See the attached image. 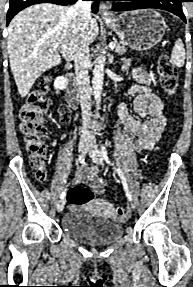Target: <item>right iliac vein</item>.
<instances>
[{
    "label": "right iliac vein",
    "mask_w": 193,
    "mask_h": 287,
    "mask_svg": "<svg viewBox=\"0 0 193 287\" xmlns=\"http://www.w3.org/2000/svg\"><path fill=\"white\" fill-rule=\"evenodd\" d=\"M89 143H90V139L89 138H83L81 139V141L79 142V146H78V151L80 154H85L88 147H89ZM65 199H62L58 202L57 204V211L58 212H62L64 207H65Z\"/></svg>",
    "instance_id": "1"
}]
</instances>
